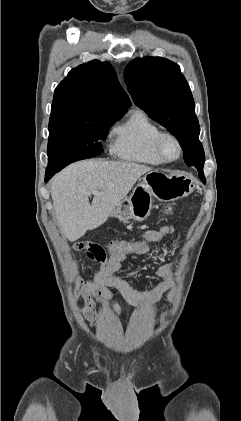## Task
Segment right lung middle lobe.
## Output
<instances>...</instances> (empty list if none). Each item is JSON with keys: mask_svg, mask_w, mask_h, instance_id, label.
<instances>
[{"mask_svg": "<svg viewBox=\"0 0 241 421\" xmlns=\"http://www.w3.org/2000/svg\"><path fill=\"white\" fill-rule=\"evenodd\" d=\"M121 117L101 116L78 119L51 116L47 169L61 170L68 164L94 157L103 152L99 140H105L110 126Z\"/></svg>", "mask_w": 241, "mask_h": 421, "instance_id": "obj_1", "label": "right lung middle lobe"}]
</instances>
